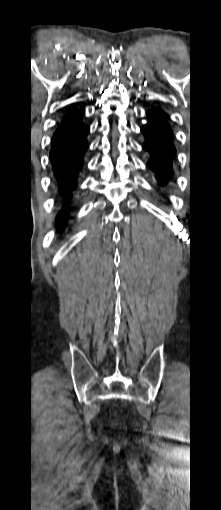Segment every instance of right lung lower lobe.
<instances>
[{"label": "right lung lower lobe", "mask_w": 221, "mask_h": 510, "mask_svg": "<svg viewBox=\"0 0 221 510\" xmlns=\"http://www.w3.org/2000/svg\"><path fill=\"white\" fill-rule=\"evenodd\" d=\"M89 127L79 123L73 128L63 132L54 133L50 159L53 165V172L58 182L59 193L69 198L76 187V179L83 165V155L87 150L86 137ZM68 214V207H64L58 220L63 224Z\"/></svg>", "instance_id": "obj_1"}]
</instances>
